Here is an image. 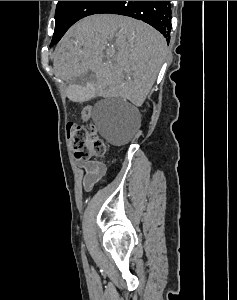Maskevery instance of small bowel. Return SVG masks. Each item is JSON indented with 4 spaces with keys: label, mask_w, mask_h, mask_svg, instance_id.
Listing matches in <instances>:
<instances>
[{
    "label": "small bowel",
    "mask_w": 237,
    "mask_h": 300,
    "mask_svg": "<svg viewBox=\"0 0 237 300\" xmlns=\"http://www.w3.org/2000/svg\"><path fill=\"white\" fill-rule=\"evenodd\" d=\"M90 117L91 107L87 106L82 111V118L89 120ZM77 164L83 171L82 184L85 191H90L96 184L104 180L107 168L102 162L78 159Z\"/></svg>",
    "instance_id": "1"
}]
</instances>
